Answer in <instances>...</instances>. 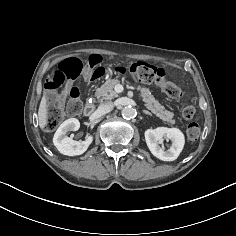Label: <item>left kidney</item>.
<instances>
[{
    "label": "left kidney",
    "instance_id": "1",
    "mask_svg": "<svg viewBox=\"0 0 236 236\" xmlns=\"http://www.w3.org/2000/svg\"><path fill=\"white\" fill-rule=\"evenodd\" d=\"M163 139L171 140L170 148L164 150L160 146ZM145 140L151 153L163 161H174L181 153L185 139L183 133L177 128L157 127L145 131Z\"/></svg>",
    "mask_w": 236,
    "mask_h": 236
}]
</instances>
